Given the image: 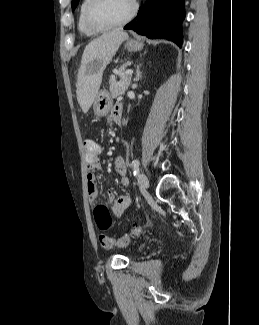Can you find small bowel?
I'll return each instance as SVG.
<instances>
[{
    "mask_svg": "<svg viewBox=\"0 0 259 325\" xmlns=\"http://www.w3.org/2000/svg\"><path fill=\"white\" fill-rule=\"evenodd\" d=\"M123 107L121 103H116L109 115L111 122L117 123V120L122 117ZM101 149L98 146V155L94 159L86 158L88 165L87 174V190L91 201H95L98 197V189L96 185V173L101 171L102 166L100 162ZM114 167L117 174L120 176V184L123 187H127L130 183L129 178L126 175V163L123 157L118 156L114 161ZM107 200L112 204V212L115 216L121 215L130 205L131 198L128 195H117L110 191L107 193Z\"/></svg>",
    "mask_w": 259,
    "mask_h": 325,
    "instance_id": "small-bowel-1",
    "label": "small bowel"
}]
</instances>
